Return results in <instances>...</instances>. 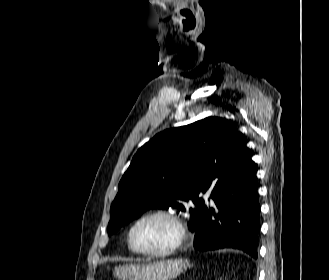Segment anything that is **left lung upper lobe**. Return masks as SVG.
I'll return each mask as SVG.
<instances>
[{
    "label": "left lung upper lobe",
    "instance_id": "1",
    "mask_svg": "<svg viewBox=\"0 0 329 280\" xmlns=\"http://www.w3.org/2000/svg\"><path fill=\"white\" fill-rule=\"evenodd\" d=\"M243 147L241 133L219 117L157 134L137 151L119 183L108 234L148 209L169 207L189 212L196 232L205 205L199 193L210 191L213 196L231 182ZM186 203L195 207L186 208Z\"/></svg>",
    "mask_w": 329,
    "mask_h": 280
}]
</instances>
